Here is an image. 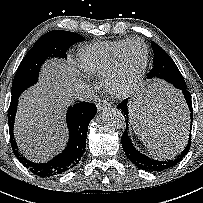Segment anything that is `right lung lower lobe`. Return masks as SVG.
Wrapping results in <instances>:
<instances>
[{"label":"right lung lower lobe","instance_id":"right-lung-lower-lobe-1","mask_svg":"<svg viewBox=\"0 0 203 203\" xmlns=\"http://www.w3.org/2000/svg\"><path fill=\"white\" fill-rule=\"evenodd\" d=\"M17 104L18 98L11 100L8 110V122L11 146L18 160L32 173L40 177L56 176L75 167L85 151L88 125L96 115V105L89 102H80L70 106L67 112V124L70 134L67 147L47 163H35L20 154L14 140L13 128Z\"/></svg>","mask_w":203,"mask_h":203}]
</instances>
